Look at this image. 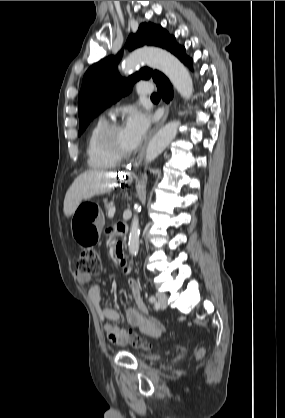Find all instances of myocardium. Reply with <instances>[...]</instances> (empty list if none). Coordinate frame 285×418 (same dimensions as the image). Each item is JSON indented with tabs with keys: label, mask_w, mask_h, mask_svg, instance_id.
<instances>
[{
	"label": "myocardium",
	"mask_w": 285,
	"mask_h": 418,
	"mask_svg": "<svg viewBox=\"0 0 285 418\" xmlns=\"http://www.w3.org/2000/svg\"><path fill=\"white\" fill-rule=\"evenodd\" d=\"M120 128H122V125L119 122H116V121L107 122L99 130L96 136V144L98 148L102 151V153L107 158L116 160V161L128 159L134 152L133 148L125 152H121L113 146L112 144L113 135Z\"/></svg>",
	"instance_id": "f54148a6"
}]
</instances>
